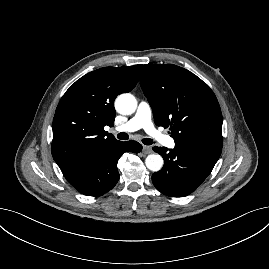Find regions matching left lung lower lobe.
Segmentation results:
<instances>
[{
	"label": "left lung lower lobe",
	"mask_w": 269,
	"mask_h": 269,
	"mask_svg": "<svg viewBox=\"0 0 269 269\" xmlns=\"http://www.w3.org/2000/svg\"><path fill=\"white\" fill-rule=\"evenodd\" d=\"M164 159L163 168L152 175L154 186L170 197H184L192 193L211 173L222 148L197 143L155 147Z\"/></svg>",
	"instance_id": "obj_1"
}]
</instances>
